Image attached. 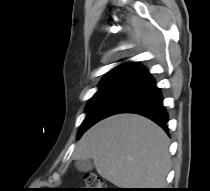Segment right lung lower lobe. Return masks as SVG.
I'll return each instance as SVG.
<instances>
[{"mask_svg": "<svg viewBox=\"0 0 210 191\" xmlns=\"http://www.w3.org/2000/svg\"><path fill=\"white\" fill-rule=\"evenodd\" d=\"M118 113L143 115L166 132L168 113L160 89L151 74L137 62L128 63L108 97L99 107L95 123Z\"/></svg>", "mask_w": 210, "mask_h": 191, "instance_id": "obj_1", "label": "right lung lower lobe"}]
</instances>
